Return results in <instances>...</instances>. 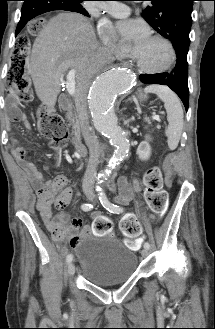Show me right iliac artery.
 I'll use <instances>...</instances> for the list:
<instances>
[{"instance_id":"right-iliac-artery-1","label":"right iliac artery","mask_w":215,"mask_h":329,"mask_svg":"<svg viewBox=\"0 0 215 329\" xmlns=\"http://www.w3.org/2000/svg\"><path fill=\"white\" fill-rule=\"evenodd\" d=\"M92 208H93V204H83L81 206V209L83 211H90ZM72 259H73L72 254L67 255V257H66L67 263H70L72 261Z\"/></svg>"}]
</instances>
